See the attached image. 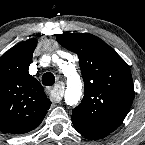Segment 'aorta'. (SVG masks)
Masks as SVG:
<instances>
[{"label":"aorta","mask_w":145,"mask_h":145,"mask_svg":"<svg viewBox=\"0 0 145 145\" xmlns=\"http://www.w3.org/2000/svg\"><path fill=\"white\" fill-rule=\"evenodd\" d=\"M67 89L65 92V102L70 105H76L81 97L82 84L80 77L75 69H66Z\"/></svg>","instance_id":"obj_1"}]
</instances>
